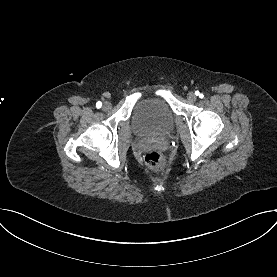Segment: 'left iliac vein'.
I'll list each match as a JSON object with an SVG mask.
<instances>
[{
    "label": "left iliac vein",
    "instance_id": "obj_1",
    "mask_svg": "<svg viewBox=\"0 0 277 277\" xmlns=\"http://www.w3.org/2000/svg\"><path fill=\"white\" fill-rule=\"evenodd\" d=\"M187 98H188V100L191 101V102H194V101H196V99H197V97H196V95H195L194 92H189L188 95H187Z\"/></svg>",
    "mask_w": 277,
    "mask_h": 277
}]
</instances>
